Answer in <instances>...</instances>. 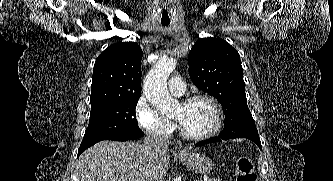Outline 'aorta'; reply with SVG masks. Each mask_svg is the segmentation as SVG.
Returning <instances> with one entry per match:
<instances>
[{"instance_id":"aorta-1","label":"aorta","mask_w":333,"mask_h":181,"mask_svg":"<svg viewBox=\"0 0 333 181\" xmlns=\"http://www.w3.org/2000/svg\"><path fill=\"white\" fill-rule=\"evenodd\" d=\"M173 58L160 59L144 79V94L151 105L163 114L170 113L179 104L167 89V79L176 67Z\"/></svg>"}]
</instances>
